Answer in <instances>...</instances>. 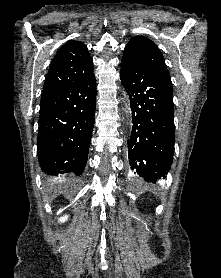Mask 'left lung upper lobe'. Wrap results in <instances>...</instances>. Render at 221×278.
Listing matches in <instances>:
<instances>
[{
	"instance_id": "obj_1",
	"label": "left lung upper lobe",
	"mask_w": 221,
	"mask_h": 278,
	"mask_svg": "<svg viewBox=\"0 0 221 278\" xmlns=\"http://www.w3.org/2000/svg\"><path fill=\"white\" fill-rule=\"evenodd\" d=\"M121 67L137 73H159L170 78L160 50L153 41L143 36L134 37L128 42Z\"/></svg>"
}]
</instances>
